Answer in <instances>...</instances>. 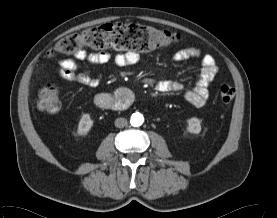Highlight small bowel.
<instances>
[{"instance_id":"small-bowel-1","label":"small bowel","mask_w":277,"mask_h":218,"mask_svg":"<svg viewBox=\"0 0 277 218\" xmlns=\"http://www.w3.org/2000/svg\"><path fill=\"white\" fill-rule=\"evenodd\" d=\"M190 58L201 59V70L198 74L194 88L186 91L184 97L190 104L196 107H202L208 99V86L216 77L218 67L211 55H203L197 48L183 49L176 52L173 56V59L176 62ZM83 61L93 65H104L112 61L116 67L125 68L137 64L139 61V55L134 52H125L118 53L112 57L109 52L105 51L87 52L86 50H81L72 58H64L60 60L58 64V73L63 79L77 82L86 87L96 88L101 84L102 78L101 76H94L88 71L82 69L79 62ZM155 88L161 93L179 92L184 90V84L171 80H159L156 82ZM125 92H128L126 88L118 89L119 94Z\"/></svg>"}]
</instances>
